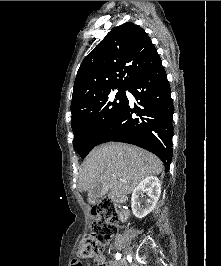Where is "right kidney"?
Listing matches in <instances>:
<instances>
[{
    "instance_id": "right-kidney-1",
    "label": "right kidney",
    "mask_w": 221,
    "mask_h": 266,
    "mask_svg": "<svg viewBox=\"0 0 221 266\" xmlns=\"http://www.w3.org/2000/svg\"><path fill=\"white\" fill-rule=\"evenodd\" d=\"M146 193L149 197L143 202V195ZM161 194L160 180L155 176H149L143 179L133 190L131 197V207L133 214L137 218H143L148 215L156 206Z\"/></svg>"
}]
</instances>
